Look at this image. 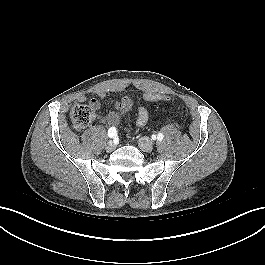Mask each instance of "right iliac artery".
Returning <instances> with one entry per match:
<instances>
[{
  "label": "right iliac artery",
  "mask_w": 265,
  "mask_h": 265,
  "mask_svg": "<svg viewBox=\"0 0 265 265\" xmlns=\"http://www.w3.org/2000/svg\"><path fill=\"white\" fill-rule=\"evenodd\" d=\"M108 136L110 138H116V136H117V130H116L115 127L109 128V130H108Z\"/></svg>",
  "instance_id": "right-iliac-artery-1"
}]
</instances>
